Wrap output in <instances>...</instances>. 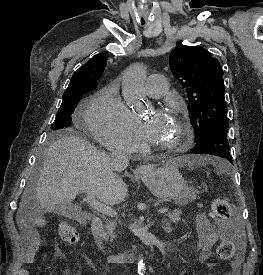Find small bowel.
Segmentation results:
<instances>
[{
  "instance_id": "obj_1",
  "label": "small bowel",
  "mask_w": 263,
  "mask_h": 275,
  "mask_svg": "<svg viewBox=\"0 0 263 275\" xmlns=\"http://www.w3.org/2000/svg\"><path fill=\"white\" fill-rule=\"evenodd\" d=\"M195 229L198 236L197 247L202 251V259L208 260L212 257V248L217 239V228L207 218L205 214H198L195 220ZM30 246L28 247L23 258L24 264H29L33 261L35 252L39 244V237L36 232L30 230ZM237 266H234L231 275H236ZM19 275H29L25 268L19 270Z\"/></svg>"
}]
</instances>
